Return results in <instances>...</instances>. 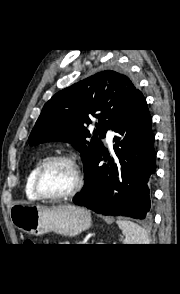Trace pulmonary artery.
Returning a JSON list of instances; mask_svg holds the SVG:
<instances>
[{"instance_id":"e3ab8cb5","label":"pulmonary artery","mask_w":180,"mask_h":294,"mask_svg":"<svg viewBox=\"0 0 180 294\" xmlns=\"http://www.w3.org/2000/svg\"><path fill=\"white\" fill-rule=\"evenodd\" d=\"M113 135H114L113 131L110 130V129H107L106 142H107L108 144H111V143H112Z\"/></svg>"}]
</instances>
